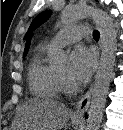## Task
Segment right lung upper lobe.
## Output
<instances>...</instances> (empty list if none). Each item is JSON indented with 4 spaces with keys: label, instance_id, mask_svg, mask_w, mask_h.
I'll list each match as a JSON object with an SVG mask.
<instances>
[{
    "label": "right lung upper lobe",
    "instance_id": "cb5924a9",
    "mask_svg": "<svg viewBox=\"0 0 123 130\" xmlns=\"http://www.w3.org/2000/svg\"><path fill=\"white\" fill-rule=\"evenodd\" d=\"M30 39H31V36L28 38L27 42H26V47H25V50H24V55L27 54V51H28V47L30 45Z\"/></svg>",
    "mask_w": 123,
    "mask_h": 130
}]
</instances>
